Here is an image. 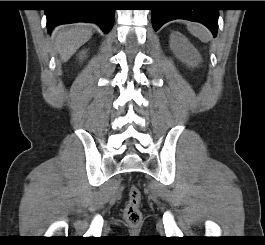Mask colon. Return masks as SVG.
<instances>
[{"label":"colon","mask_w":265,"mask_h":245,"mask_svg":"<svg viewBox=\"0 0 265 245\" xmlns=\"http://www.w3.org/2000/svg\"><path fill=\"white\" fill-rule=\"evenodd\" d=\"M141 192L132 186L129 190V200L124 208V218L132 227H137L142 221V212L140 209Z\"/></svg>","instance_id":"colon-1"}]
</instances>
